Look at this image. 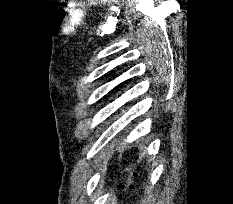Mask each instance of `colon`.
<instances>
[{
  "mask_svg": "<svg viewBox=\"0 0 233 204\" xmlns=\"http://www.w3.org/2000/svg\"><path fill=\"white\" fill-rule=\"evenodd\" d=\"M121 170H124L127 173V179L123 184L119 185L117 189L119 193H125L133 188L136 172L130 165H124L123 167L116 169V171Z\"/></svg>",
  "mask_w": 233,
  "mask_h": 204,
  "instance_id": "5ec220e1",
  "label": "colon"
}]
</instances>
